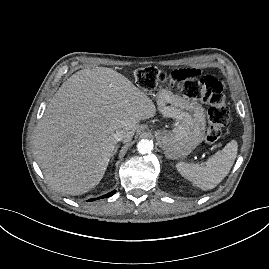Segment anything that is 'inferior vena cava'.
Listing matches in <instances>:
<instances>
[{
	"instance_id": "inferior-vena-cava-1",
	"label": "inferior vena cava",
	"mask_w": 269,
	"mask_h": 269,
	"mask_svg": "<svg viewBox=\"0 0 269 269\" xmlns=\"http://www.w3.org/2000/svg\"><path fill=\"white\" fill-rule=\"evenodd\" d=\"M114 138L116 141H123L127 139V133L124 129H118L114 133Z\"/></svg>"
}]
</instances>
